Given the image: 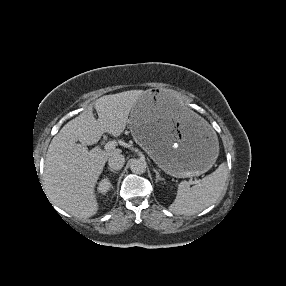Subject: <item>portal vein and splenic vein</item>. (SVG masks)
<instances>
[{
  "mask_svg": "<svg viewBox=\"0 0 286 286\" xmlns=\"http://www.w3.org/2000/svg\"><path fill=\"white\" fill-rule=\"evenodd\" d=\"M115 147H116V143L114 141H109L104 146L106 151H112L115 149ZM194 183H196V182L193 180H190V184H194Z\"/></svg>",
  "mask_w": 286,
  "mask_h": 286,
  "instance_id": "obj_1",
  "label": "portal vein and splenic vein"
}]
</instances>
